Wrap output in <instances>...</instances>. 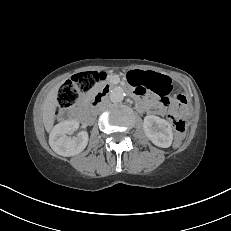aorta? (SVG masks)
Returning a JSON list of instances; mask_svg holds the SVG:
<instances>
[{
    "label": "aorta",
    "instance_id": "obj_1",
    "mask_svg": "<svg viewBox=\"0 0 231 231\" xmlns=\"http://www.w3.org/2000/svg\"><path fill=\"white\" fill-rule=\"evenodd\" d=\"M110 100L113 103H119L123 101L125 93L122 88H114L110 91Z\"/></svg>",
    "mask_w": 231,
    "mask_h": 231
}]
</instances>
